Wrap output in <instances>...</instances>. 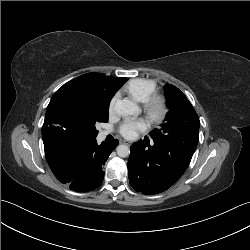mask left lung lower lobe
Masks as SVG:
<instances>
[{
	"label": "left lung lower lobe",
	"mask_w": 250,
	"mask_h": 250,
	"mask_svg": "<svg viewBox=\"0 0 250 250\" xmlns=\"http://www.w3.org/2000/svg\"><path fill=\"white\" fill-rule=\"evenodd\" d=\"M198 133L174 135L164 140L145 137L133 143L128 160L130 185L146 195L167 190L187 169L198 144Z\"/></svg>",
	"instance_id": "obj_1"
}]
</instances>
